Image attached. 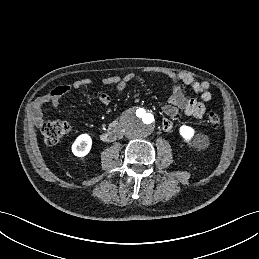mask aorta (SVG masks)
Masks as SVG:
<instances>
[{
	"label": "aorta",
	"mask_w": 259,
	"mask_h": 259,
	"mask_svg": "<svg viewBox=\"0 0 259 259\" xmlns=\"http://www.w3.org/2000/svg\"><path fill=\"white\" fill-rule=\"evenodd\" d=\"M155 119L147 108H136L125 114L120 122L121 129L128 138L143 139L154 130Z\"/></svg>",
	"instance_id": "1"
}]
</instances>
